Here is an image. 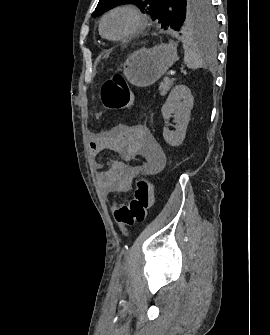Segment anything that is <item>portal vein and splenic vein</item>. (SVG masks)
<instances>
[{"instance_id": "1", "label": "portal vein and splenic vein", "mask_w": 270, "mask_h": 335, "mask_svg": "<svg viewBox=\"0 0 270 335\" xmlns=\"http://www.w3.org/2000/svg\"><path fill=\"white\" fill-rule=\"evenodd\" d=\"M175 72H170L167 76L170 78Z\"/></svg>"}]
</instances>
